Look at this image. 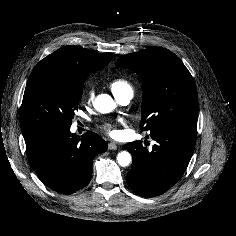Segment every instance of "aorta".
I'll list each match as a JSON object with an SVG mask.
<instances>
[{
  "label": "aorta",
  "instance_id": "aorta-1",
  "mask_svg": "<svg viewBox=\"0 0 236 236\" xmlns=\"http://www.w3.org/2000/svg\"><path fill=\"white\" fill-rule=\"evenodd\" d=\"M94 107L101 113H109L116 107V104L111 96L108 94H101L96 98ZM117 161L122 167L128 166L131 162L130 153L126 151L120 152L117 156Z\"/></svg>",
  "mask_w": 236,
  "mask_h": 236
}]
</instances>
